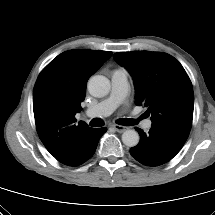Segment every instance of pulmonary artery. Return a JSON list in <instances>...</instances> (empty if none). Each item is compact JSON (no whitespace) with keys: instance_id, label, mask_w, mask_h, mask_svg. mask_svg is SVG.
Returning a JSON list of instances; mask_svg holds the SVG:
<instances>
[{"instance_id":"pulmonary-artery-1","label":"pulmonary artery","mask_w":215,"mask_h":215,"mask_svg":"<svg viewBox=\"0 0 215 215\" xmlns=\"http://www.w3.org/2000/svg\"><path fill=\"white\" fill-rule=\"evenodd\" d=\"M128 92V72L124 69H116L111 75V93L110 95L88 108L85 112L88 117H105L111 114L114 109L124 101ZM151 121L147 120L144 127L149 129Z\"/></svg>"}]
</instances>
